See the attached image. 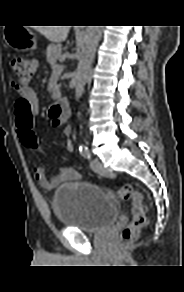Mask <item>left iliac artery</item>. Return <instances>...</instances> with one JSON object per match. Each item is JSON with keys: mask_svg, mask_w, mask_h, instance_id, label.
<instances>
[{"mask_svg": "<svg viewBox=\"0 0 184 292\" xmlns=\"http://www.w3.org/2000/svg\"><path fill=\"white\" fill-rule=\"evenodd\" d=\"M79 150H80V153H81V155L85 158V159H87V160H90L91 159V152H90V150L88 149V147L87 146H80L79 147Z\"/></svg>", "mask_w": 184, "mask_h": 292, "instance_id": "44dca946", "label": "left iliac artery"}]
</instances>
